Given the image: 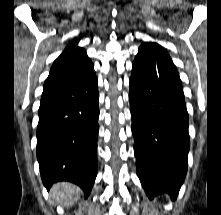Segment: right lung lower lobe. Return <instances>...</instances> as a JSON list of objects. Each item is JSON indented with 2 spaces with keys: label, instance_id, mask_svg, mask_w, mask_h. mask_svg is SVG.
<instances>
[{
  "label": "right lung lower lobe",
  "instance_id": "1",
  "mask_svg": "<svg viewBox=\"0 0 221 215\" xmlns=\"http://www.w3.org/2000/svg\"><path fill=\"white\" fill-rule=\"evenodd\" d=\"M98 101L94 70L42 94L37 159L47 190L70 181L89 196L97 175Z\"/></svg>",
  "mask_w": 221,
  "mask_h": 215
}]
</instances>
